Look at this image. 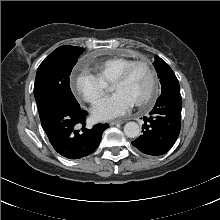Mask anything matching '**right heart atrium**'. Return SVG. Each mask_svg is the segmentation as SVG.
<instances>
[{
  "instance_id": "1",
  "label": "right heart atrium",
  "mask_w": 220,
  "mask_h": 220,
  "mask_svg": "<svg viewBox=\"0 0 220 220\" xmlns=\"http://www.w3.org/2000/svg\"><path fill=\"white\" fill-rule=\"evenodd\" d=\"M71 88L77 97L89 104H95L104 96L107 86L97 76L83 71L73 78Z\"/></svg>"
}]
</instances>
